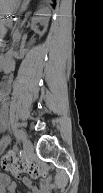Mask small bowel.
Masks as SVG:
<instances>
[{
  "label": "small bowel",
  "mask_w": 103,
  "mask_h": 193,
  "mask_svg": "<svg viewBox=\"0 0 103 193\" xmlns=\"http://www.w3.org/2000/svg\"><path fill=\"white\" fill-rule=\"evenodd\" d=\"M8 140L3 139L0 148L4 149ZM22 182L25 186L26 193H53L54 184L50 179H43L38 185H35L29 178H22ZM0 186L3 193H16V183L11 181V178L7 174H1Z\"/></svg>",
  "instance_id": "obj_1"
}]
</instances>
